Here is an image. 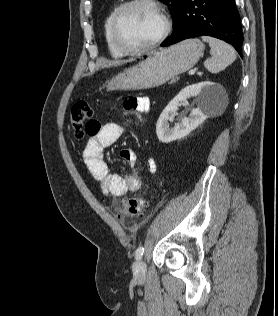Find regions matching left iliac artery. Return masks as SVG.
Segmentation results:
<instances>
[{
  "instance_id": "obj_1",
  "label": "left iliac artery",
  "mask_w": 278,
  "mask_h": 316,
  "mask_svg": "<svg viewBox=\"0 0 278 316\" xmlns=\"http://www.w3.org/2000/svg\"><path fill=\"white\" fill-rule=\"evenodd\" d=\"M144 250H145V248L143 246H139L137 248L136 253H135V257L137 260L141 259V257L143 256Z\"/></svg>"
}]
</instances>
